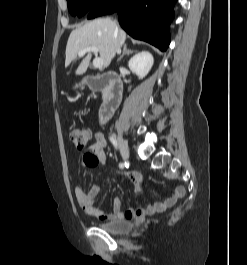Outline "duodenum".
Here are the masks:
<instances>
[{"label": "duodenum", "instance_id": "410a0bca", "mask_svg": "<svg viewBox=\"0 0 247 265\" xmlns=\"http://www.w3.org/2000/svg\"><path fill=\"white\" fill-rule=\"evenodd\" d=\"M84 84L91 90H104L105 98L100 108L99 120L104 122L109 119L118 108L123 94V83L120 77L113 72L101 75H88Z\"/></svg>", "mask_w": 247, "mask_h": 265}]
</instances>
